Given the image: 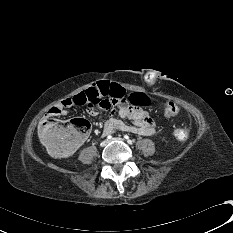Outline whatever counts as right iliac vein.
Wrapping results in <instances>:
<instances>
[{
	"instance_id": "1",
	"label": "right iliac vein",
	"mask_w": 233,
	"mask_h": 233,
	"mask_svg": "<svg viewBox=\"0 0 233 233\" xmlns=\"http://www.w3.org/2000/svg\"><path fill=\"white\" fill-rule=\"evenodd\" d=\"M107 144H108V141L105 140V141H103V142L101 143V146H102V147H105Z\"/></svg>"
}]
</instances>
